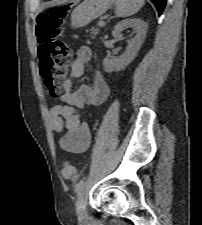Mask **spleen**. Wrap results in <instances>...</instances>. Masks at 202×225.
<instances>
[{"label": "spleen", "mask_w": 202, "mask_h": 225, "mask_svg": "<svg viewBox=\"0 0 202 225\" xmlns=\"http://www.w3.org/2000/svg\"><path fill=\"white\" fill-rule=\"evenodd\" d=\"M116 15L128 17L137 13L144 5V0H114Z\"/></svg>", "instance_id": "1"}]
</instances>
